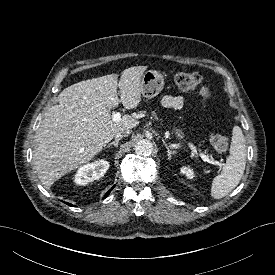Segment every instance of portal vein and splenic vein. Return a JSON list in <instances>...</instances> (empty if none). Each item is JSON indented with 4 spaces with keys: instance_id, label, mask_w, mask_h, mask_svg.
Listing matches in <instances>:
<instances>
[{
    "instance_id": "portal-vein-and-splenic-vein-1",
    "label": "portal vein and splenic vein",
    "mask_w": 275,
    "mask_h": 275,
    "mask_svg": "<svg viewBox=\"0 0 275 275\" xmlns=\"http://www.w3.org/2000/svg\"><path fill=\"white\" fill-rule=\"evenodd\" d=\"M121 118V113L120 112H115L112 114V119L114 122H118ZM196 153L199 154V156L201 157V159L205 162V163H210V164H214V165H219L221 166L222 163L219 161H215V160H210L206 155H204L203 153L197 152Z\"/></svg>"
}]
</instances>
